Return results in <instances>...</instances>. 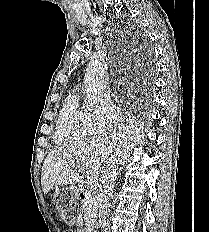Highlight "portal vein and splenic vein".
<instances>
[{"mask_svg": "<svg viewBox=\"0 0 209 232\" xmlns=\"http://www.w3.org/2000/svg\"><path fill=\"white\" fill-rule=\"evenodd\" d=\"M81 166H87L88 164L85 162L79 163ZM98 187V179L96 175H92L90 179V190L95 191Z\"/></svg>", "mask_w": 209, "mask_h": 232, "instance_id": "portal-vein-and-splenic-vein-1", "label": "portal vein and splenic vein"}]
</instances>
